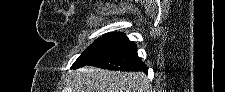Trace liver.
Returning <instances> with one entry per match:
<instances>
[{
    "mask_svg": "<svg viewBox=\"0 0 225 92\" xmlns=\"http://www.w3.org/2000/svg\"><path fill=\"white\" fill-rule=\"evenodd\" d=\"M73 92H150L142 72H113L83 67L73 73Z\"/></svg>",
    "mask_w": 225,
    "mask_h": 92,
    "instance_id": "obj_1",
    "label": "liver"
}]
</instances>
